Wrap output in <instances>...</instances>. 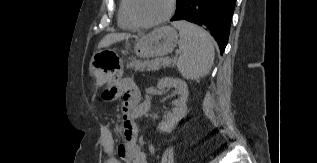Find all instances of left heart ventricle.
<instances>
[{"mask_svg":"<svg viewBox=\"0 0 317 163\" xmlns=\"http://www.w3.org/2000/svg\"><path fill=\"white\" fill-rule=\"evenodd\" d=\"M169 0H134L136 15L144 21L162 17L168 10Z\"/></svg>","mask_w":317,"mask_h":163,"instance_id":"1","label":"left heart ventricle"}]
</instances>
